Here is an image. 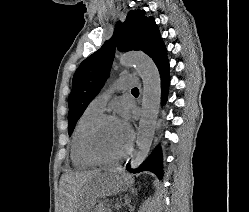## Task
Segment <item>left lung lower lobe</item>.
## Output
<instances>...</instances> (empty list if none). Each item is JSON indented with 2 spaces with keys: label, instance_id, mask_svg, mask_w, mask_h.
Returning a JSON list of instances; mask_svg holds the SVG:
<instances>
[{
  "label": "left lung lower lobe",
  "instance_id": "0a47b994",
  "mask_svg": "<svg viewBox=\"0 0 249 212\" xmlns=\"http://www.w3.org/2000/svg\"><path fill=\"white\" fill-rule=\"evenodd\" d=\"M156 66L158 67L160 77H161V99L162 103H165L167 100L169 83H170V75H169V62L167 58L166 48L160 51V53L153 59ZM163 165H162V154L161 149L157 147L151 156L146 160L140 167L136 170H132L130 165H127V170L132 173H138L141 171H151L157 175L158 178H162L163 176Z\"/></svg>",
  "mask_w": 249,
  "mask_h": 212
}]
</instances>
